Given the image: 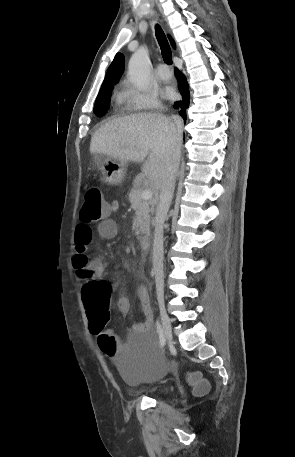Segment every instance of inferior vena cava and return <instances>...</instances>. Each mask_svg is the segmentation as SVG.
<instances>
[{
    "mask_svg": "<svg viewBox=\"0 0 295 457\" xmlns=\"http://www.w3.org/2000/svg\"><path fill=\"white\" fill-rule=\"evenodd\" d=\"M172 120L177 127V137L179 138L181 134V120L175 116H172ZM179 159L180 150L177 148L172 159L168 161L166 171L162 177L160 184V198L156 208L152 262L158 298H162L164 294L163 225L173 198Z\"/></svg>",
    "mask_w": 295,
    "mask_h": 457,
    "instance_id": "602c4592",
    "label": "inferior vena cava"
}]
</instances>
